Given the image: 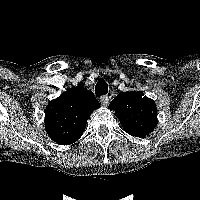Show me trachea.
Segmentation results:
<instances>
[{"label":"trachea","instance_id":"obj_1","mask_svg":"<svg viewBox=\"0 0 200 200\" xmlns=\"http://www.w3.org/2000/svg\"><path fill=\"white\" fill-rule=\"evenodd\" d=\"M107 92H108V84L106 83L105 80L100 79L95 86L96 95L99 97L107 94Z\"/></svg>","mask_w":200,"mask_h":200}]
</instances>
